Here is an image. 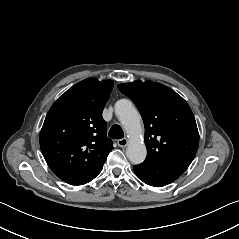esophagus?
Here are the masks:
<instances>
[{
    "label": "esophagus",
    "instance_id": "esophagus-1",
    "mask_svg": "<svg viewBox=\"0 0 239 239\" xmlns=\"http://www.w3.org/2000/svg\"><path fill=\"white\" fill-rule=\"evenodd\" d=\"M117 144L120 147H126L128 145V139L127 138H122L117 141Z\"/></svg>",
    "mask_w": 239,
    "mask_h": 239
}]
</instances>
